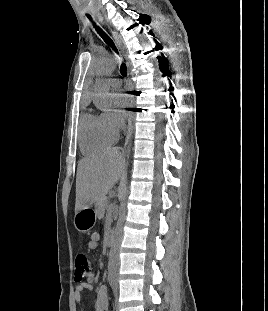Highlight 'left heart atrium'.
I'll list each match as a JSON object with an SVG mask.
<instances>
[{
	"label": "left heart atrium",
	"mask_w": 268,
	"mask_h": 311,
	"mask_svg": "<svg viewBox=\"0 0 268 311\" xmlns=\"http://www.w3.org/2000/svg\"><path fill=\"white\" fill-rule=\"evenodd\" d=\"M113 97L118 99V98L127 97V96L125 94H114ZM115 104H116L117 107H125V106L130 105V102H128V101H121V100L118 99L115 102Z\"/></svg>",
	"instance_id": "obj_1"
}]
</instances>
